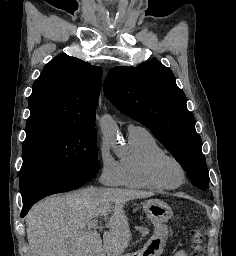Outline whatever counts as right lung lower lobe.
<instances>
[{"label": "right lung lower lobe", "instance_id": "obj_1", "mask_svg": "<svg viewBox=\"0 0 236 256\" xmlns=\"http://www.w3.org/2000/svg\"><path fill=\"white\" fill-rule=\"evenodd\" d=\"M91 178L86 174H73L42 181L30 186L21 192L23 201L21 217H24L38 200L48 195L74 190L85 184Z\"/></svg>", "mask_w": 236, "mask_h": 256}]
</instances>
